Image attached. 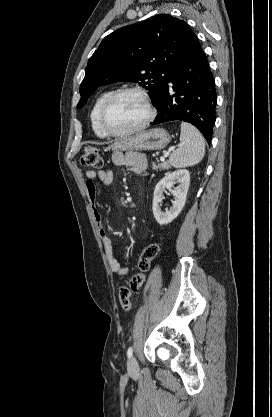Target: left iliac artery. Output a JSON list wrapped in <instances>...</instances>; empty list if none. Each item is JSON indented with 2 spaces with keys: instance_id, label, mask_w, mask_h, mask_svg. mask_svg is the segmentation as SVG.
Returning a JSON list of instances; mask_svg holds the SVG:
<instances>
[{
  "instance_id": "1",
  "label": "left iliac artery",
  "mask_w": 272,
  "mask_h": 417,
  "mask_svg": "<svg viewBox=\"0 0 272 417\" xmlns=\"http://www.w3.org/2000/svg\"><path fill=\"white\" fill-rule=\"evenodd\" d=\"M132 354H133V348L132 347H129L128 350H127V356H128V358H131Z\"/></svg>"
}]
</instances>
